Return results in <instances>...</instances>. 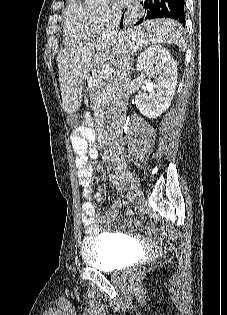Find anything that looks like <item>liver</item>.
I'll list each match as a JSON object with an SVG mask.
<instances>
[{
  "label": "liver",
  "mask_w": 227,
  "mask_h": 315,
  "mask_svg": "<svg viewBox=\"0 0 227 315\" xmlns=\"http://www.w3.org/2000/svg\"><path fill=\"white\" fill-rule=\"evenodd\" d=\"M156 43L175 44L184 51L182 26L173 19H154L118 31L114 37L102 35L62 50L57 62L64 112L72 114L81 107L83 87L90 72L93 76L113 79L124 60L130 64L131 56Z\"/></svg>",
  "instance_id": "obj_1"
}]
</instances>
